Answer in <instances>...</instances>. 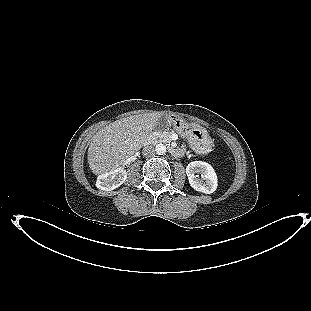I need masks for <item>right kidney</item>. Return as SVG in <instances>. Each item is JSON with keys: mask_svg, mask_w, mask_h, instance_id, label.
<instances>
[{"mask_svg": "<svg viewBox=\"0 0 311 311\" xmlns=\"http://www.w3.org/2000/svg\"><path fill=\"white\" fill-rule=\"evenodd\" d=\"M127 178V172L122 168L109 171L100 175L97 179V188L104 191H111L121 186Z\"/></svg>", "mask_w": 311, "mask_h": 311, "instance_id": "1", "label": "right kidney"}]
</instances>
